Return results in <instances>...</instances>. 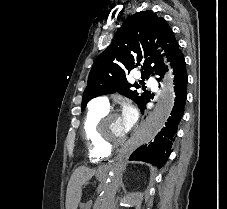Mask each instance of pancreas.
I'll list each match as a JSON object with an SVG mask.
<instances>
[{"instance_id": "obj_1", "label": "pancreas", "mask_w": 227, "mask_h": 209, "mask_svg": "<svg viewBox=\"0 0 227 209\" xmlns=\"http://www.w3.org/2000/svg\"><path fill=\"white\" fill-rule=\"evenodd\" d=\"M81 209H89L87 206H82Z\"/></svg>"}]
</instances>
